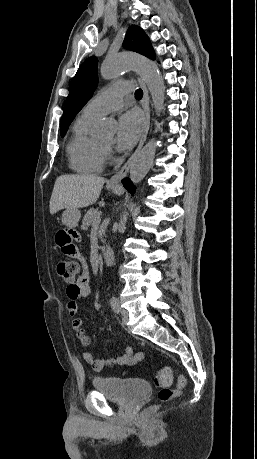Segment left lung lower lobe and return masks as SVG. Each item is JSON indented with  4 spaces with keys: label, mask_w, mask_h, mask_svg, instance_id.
Wrapping results in <instances>:
<instances>
[{
    "label": "left lung lower lobe",
    "mask_w": 257,
    "mask_h": 459,
    "mask_svg": "<svg viewBox=\"0 0 257 459\" xmlns=\"http://www.w3.org/2000/svg\"><path fill=\"white\" fill-rule=\"evenodd\" d=\"M123 183V186L130 192V193H134V186L132 185V182L130 181L129 178H126L122 181Z\"/></svg>",
    "instance_id": "0a47b994"
}]
</instances>
